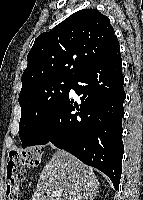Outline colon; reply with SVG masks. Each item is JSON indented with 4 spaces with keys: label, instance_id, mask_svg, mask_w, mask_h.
Masks as SVG:
<instances>
[{
    "label": "colon",
    "instance_id": "5ec220e1",
    "mask_svg": "<svg viewBox=\"0 0 143 200\" xmlns=\"http://www.w3.org/2000/svg\"><path fill=\"white\" fill-rule=\"evenodd\" d=\"M42 157L43 149L39 147L10 151L6 165V200H18L19 184L25 178L26 167H39Z\"/></svg>",
    "mask_w": 143,
    "mask_h": 200
}]
</instances>
